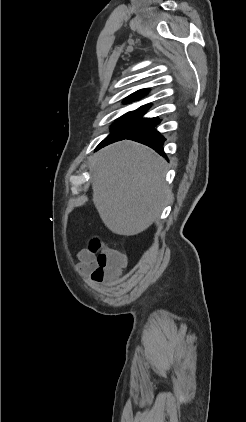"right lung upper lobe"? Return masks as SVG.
<instances>
[{"label": "right lung upper lobe", "mask_w": 246, "mask_h": 422, "mask_svg": "<svg viewBox=\"0 0 246 422\" xmlns=\"http://www.w3.org/2000/svg\"><path fill=\"white\" fill-rule=\"evenodd\" d=\"M148 91H149L148 89H141V90L136 91L135 93L131 94L130 96L126 98L125 103H130V102L139 100L140 98L144 97ZM150 106H151L150 104H147V105L141 106L139 109H148Z\"/></svg>", "instance_id": "cb5924a9"}]
</instances>
